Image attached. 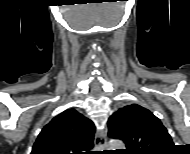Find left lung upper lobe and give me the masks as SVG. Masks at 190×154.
Here are the masks:
<instances>
[{"label": "left lung upper lobe", "instance_id": "obj_1", "mask_svg": "<svg viewBox=\"0 0 190 154\" xmlns=\"http://www.w3.org/2000/svg\"><path fill=\"white\" fill-rule=\"evenodd\" d=\"M108 135L122 140L128 154H159L174 145L161 121L137 104L125 106L110 116Z\"/></svg>", "mask_w": 190, "mask_h": 154}]
</instances>
